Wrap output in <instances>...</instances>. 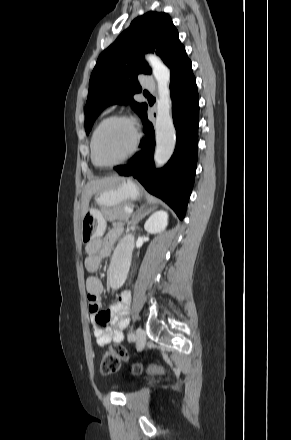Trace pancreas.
<instances>
[{"instance_id": "cf45deb5", "label": "pancreas", "mask_w": 291, "mask_h": 440, "mask_svg": "<svg viewBox=\"0 0 291 440\" xmlns=\"http://www.w3.org/2000/svg\"><path fill=\"white\" fill-rule=\"evenodd\" d=\"M125 205H118L112 208L102 207L101 212L106 220L114 221V220H124L128 221L130 215L124 210Z\"/></svg>"}]
</instances>
